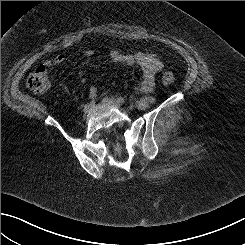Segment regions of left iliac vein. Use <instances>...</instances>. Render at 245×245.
Here are the masks:
<instances>
[{
    "instance_id": "1",
    "label": "left iliac vein",
    "mask_w": 245,
    "mask_h": 245,
    "mask_svg": "<svg viewBox=\"0 0 245 245\" xmlns=\"http://www.w3.org/2000/svg\"><path fill=\"white\" fill-rule=\"evenodd\" d=\"M102 102L107 104V105H111L117 109H120L121 108V105L118 101H116L115 99L113 98H108V97H105L102 99Z\"/></svg>"
}]
</instances>
